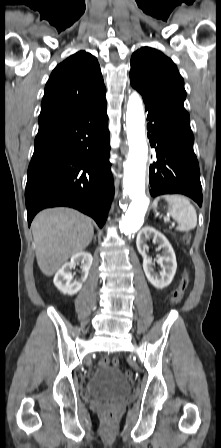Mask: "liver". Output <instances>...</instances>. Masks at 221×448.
Wrapping results in <instances>:
<instances>
[{
	"mask_svg": "<svg viewBox=\"0 0 221 448\" xmlns=\"http://www.w3.org/2000/svg\"><path fill=\"white\" fill-rule=\"evenodd\" d=\"M37 264L52 276L68 259L82 252L94 234L92 220L69 208L45 209L32 222Z\"/></svg>",
	"mask_w": 221,
	"mask_h": 448,
	"instance_id": "obj_1",
	"label": "liver"
}]
</instances>
